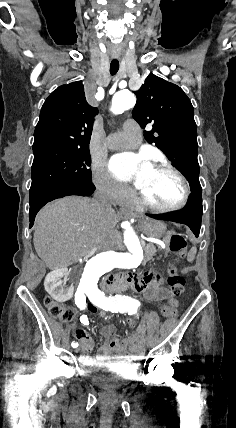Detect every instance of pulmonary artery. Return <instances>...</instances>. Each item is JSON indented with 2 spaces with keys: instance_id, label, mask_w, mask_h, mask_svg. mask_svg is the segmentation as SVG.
Listing matches in <instances>:
<instances>
[{
  "instance_id": "e3ab8cb5",
  "label": "pulmonary artery",
  "mask_w": 236,
  "mask_h": 428,
  "mask_svg": "<svg viewBox=\"0 0 236 428\" xmlns=\"http://www.w3.org/2000/svg\"><path fill=\"white\" fill-rule=\"evenodd\" d=\"M122 135H123V132H119L117 134H114L113 138L114 137H118V136H122ZM108 147L112 148V149H129V148L135 147V145L132 144L131 142H127V143H115V142H112L110 140L109 143H108Z\"/></svg>"
}]
</instances>
